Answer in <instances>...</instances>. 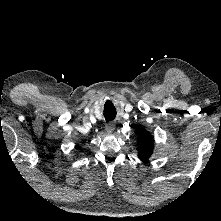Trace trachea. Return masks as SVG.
I'll use <instances>...</instances> for the list:
<instances>
[{"instance_id": "obj_1", "label": "trachea", "mask_w": 221, "mask_h": 221, "mask_svg": "<svg viewBox=\"0 0 221 221\" xmlns=\"http://www.w3.org/2000/svg\"><path fill=\"white\" fill-rule=\"evenodd\" d=\"M115 115H116V111H110V112H105L104 113V116H105V119H106V122H109L111 120H113L115 118Z\"/></svg>"}]
</instances>
